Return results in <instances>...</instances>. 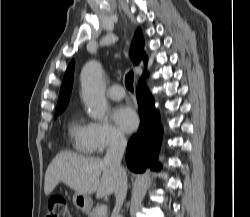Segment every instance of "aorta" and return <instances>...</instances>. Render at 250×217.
Returning <instances> with one entry per match:
<instances>
[{
	"mask_svg": "<svg viewBox=\"0 0 250 217\" xmlns=\"http://www.w3.org/2000/svg\"><path fill=\"white\" fill-rule=\"evenodd\" d=\"M82 98L92 119L104 118L108 104L105 98V84L102 66L98 61H89L82 69L81 75Z\"/></svg>",
	"mask_w": 250,
	"mask_h": 217,
	"instance_id": "762f6f07",
	"label": "aorta"
}]
</instances>
